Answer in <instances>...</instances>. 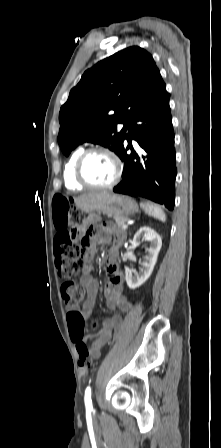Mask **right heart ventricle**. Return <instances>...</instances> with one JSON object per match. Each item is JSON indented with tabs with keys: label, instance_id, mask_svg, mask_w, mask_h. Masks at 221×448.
<instances>
[{
	"label": "right heart ventricle",
	"instance_id": "right-heart-ventricle-1",
	"mask_svg": "<svg viewBox=\"0 0 221 448\" xmlns=\"http://www.w3.org/2000/svg\"><path fill=\"white\" fill-rule=\"evenodd\" d=\"M83 151V148L76 149L65 164L63 173L64 185L69 190H80L84 187L79 184L74 178V166L78 157L82 154Z\"/></svg>",
	"mask_w": 221,
	"mask_h": 448
}]
</instances>
